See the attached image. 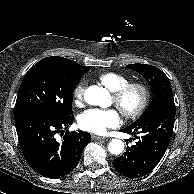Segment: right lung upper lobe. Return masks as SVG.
Returning <instances> with one entry per match:
<instances>
[{
  "instance_id": "cb5924a9",
  "label": "right lung upper lobe",
  "mask_w": 194,
  "mask_h": 194,
  "mask_svg": "<svg viewBox=\"0 0 194 194\" xmlns=\"http://www.w3.org/2000/svg\"><path fill=\"white\" fill-rule=\"evenodd\" d=\"M67 60H68L73 66L84 68V66H81V65L77 64L76 62H74V61H72V60H69V59H67Z\"/></svg>"
}]
</instances>
